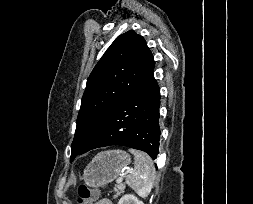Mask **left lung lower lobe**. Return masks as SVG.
I'll list each match as a JSON object with an SVG mask.
<instances>
[{"label": "left lung lower lobe", "instance_id": "0a47b994", "mask_svg": "<svg viewBox=\"0 0 253 204\" xmlns=\"http://www.w3.org/2000/svg\"><path fill=\"white\" fill-rule=\"evenodd\" d=\"M154 61L138 86L94 130L90 142L80 153L110 145H122L159 154L160 88L153 76Z\"/></svg>", "mask_w": 253, "mask_h": 204}]
</instances>
